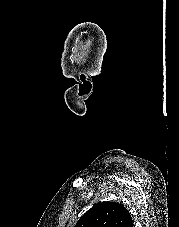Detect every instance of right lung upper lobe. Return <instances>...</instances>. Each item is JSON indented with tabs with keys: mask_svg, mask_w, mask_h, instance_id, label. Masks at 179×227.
<instances>
[{
	"mask_svg": "<svg viewBox=\"0 0 179 227\" xmlns=\"http://www.w3.org/2000/svg\"><path fill=\"white\" fill-rule=\"evenodd\" d=\"M75 227H133L128 210L117 202H101L88 210Z\"/></svg>",
	"mask_w": 179,
	"mask_h": 227,
	"instance_id": "right-lung-upper-lobe-1",
	"label": "right lung upper lobe"
}]
</instances>
